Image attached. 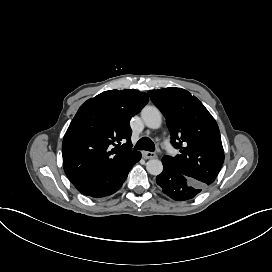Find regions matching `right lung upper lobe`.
<instances>
[{
	"mask_svg": "<svg viewBox=\"0 0 272 272\" xmlns=\"http://www.w3.org/2000/svg\"><path fill=\"white\" fill-rule=\"evenodd\" d=\"M148 101L146 93L128 89L105 91L82 104L62 143L64 171L73 184L138 153L131 149L129 122Z\"/></svg>",
	"mask_w": 272,
	"mask_h": 272,
	"instance_id": "right-lung-upper-lobe-1",
	"label": "right lung upper lobe"
}]
</instances>
